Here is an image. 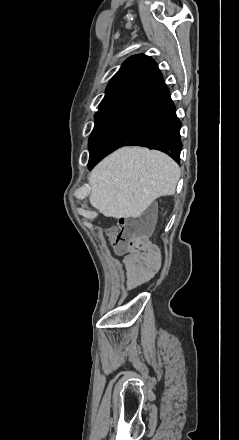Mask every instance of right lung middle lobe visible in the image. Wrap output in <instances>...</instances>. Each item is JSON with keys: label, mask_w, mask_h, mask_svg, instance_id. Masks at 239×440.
I'll return each mask as SVG.
<instances>
[{"label": "right lung middle lobe", "mask_w": 239, "mask_h": 440, "mask_svg": "<svg viewBox=\"0 0 239 440\" xmlns=\"http://www.w3.org/2000/svg\"><path fill=\"white\" fill-rule=\"evenodd\" d=\"M130 101L118 99L99 105V111L95 114V127L89 137L90 155L96 150L101 139L115 124Z\"/></svg>", "instance_id": "right-lung-middle-lobe-1"}]
</instances>
